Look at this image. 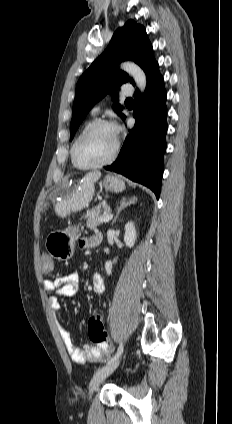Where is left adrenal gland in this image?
<instances>
[{
  "label": "left adrenal gland",
  "instance_id": "a2214340",
  "mask_svg": "<svg viewBox=\"0 0 232 424\" xmlns=\"http://www.w3.org/2000/svg\"><path fill=\"white\" fill-rule=\"evenodd\" d=\"M136 202H137V200L135 199V198H126V197H123L122 199H121V201H120V206L118 207V209H117V213H116V216L114 217V219L112 220V225L116 222V220L118 219V217H119V214L121 213V211L123 210V209H125L126 207H128V206H130V205H134V204H136Z\"/></svg>",
  "mask_w": 232,
  "mask_h": 424
}]
</instances>
